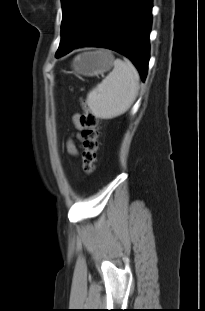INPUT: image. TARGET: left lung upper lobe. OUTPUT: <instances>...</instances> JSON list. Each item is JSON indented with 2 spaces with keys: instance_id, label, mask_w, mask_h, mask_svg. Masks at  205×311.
I'll return each instance as SVG.
<instances>
[{
  "instance_id": "left-lung-upper-lobe-1",
  "label": "left lung upper lobe",
  "mask_w": 205,
  "mask_h": 311,
  "mask_svg": "<svg viewBox=\"0 0 205 311\" xmlns=\"http://www.w3.org/2000/svg\"><path fill=\"white\" fill-rule=\"evenodd\" d=\"M63 18L61 42L56 55L61 54L88 35L105 17L116 0H61Z\"/></svg>"
}]
</instances>
